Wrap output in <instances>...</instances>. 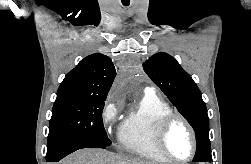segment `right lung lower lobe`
Here are the masks:
<instances>
[{"mask_svg": "<svg viewBox=\"0 0 251 164\" xmlns=\"http://www.w3.org/2000/svg\"><path fill=\"white\" fill-rule=\"evenodd\" d=\"M106 148L96 142L83 139H61L53 144L47 145V162H58L68 154L82 148Z\"/></svg>", "mask_w": 251, "mask_h": 164, "instance_id": "1", "label": "right lung lower lobe"}]
</instances>
